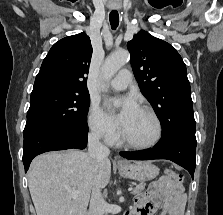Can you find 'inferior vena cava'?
<instances>
[{"label":"inferior vena cava","instance_id":"602c4592","mask_svg":"<svg viewBox=\"0 0 223 215\" xmlns=\"http://www.w3.org/2000/svg\"><path fill=\"white\" fill-rule=\"evenodd\" d=\"M99 139V131H91L88 135V153L92 159H103V157H108L110 153L108 147L103 145ZM94 169H98V163L94 165ZM104 209L105 201L101 189L100 187H93L88 215H103Z\"/></svg>","mask_w":223,"mask_h":215}]
</instances>
